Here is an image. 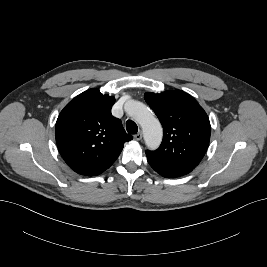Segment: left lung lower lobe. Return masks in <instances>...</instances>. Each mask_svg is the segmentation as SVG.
<instances>
[{"mask_svg": "<svg viewBox=\"0 0 267 267\" xmlns=\"http://www.w3.org/2000/svg\"><path fill=\"white\" fill-rule=\"evenodd\" d=\"M150 166L160 175L167 178H175L190 173L193 169L186 167L168 166L159 163H155L148 160Z\"/></svg>", "mask_w": 267, "mask_h": 267, "instance_id": "0a47b994", "label": "left lung lower lobe"}]
</instances>
